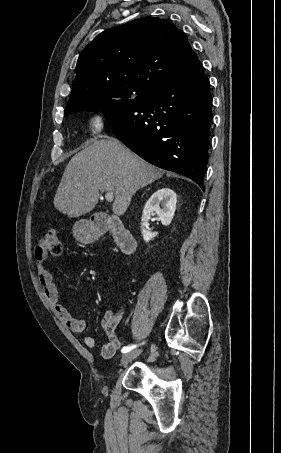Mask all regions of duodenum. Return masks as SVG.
Returning a JSON list of instances; mask_svg holds the SVG:
<instances>
[{
	"mask_svg": "<svg viewBox=\"0 0 281 453\" xmlns=\"http://www.w3.org/2000/svg\"><path fill=\"white\" fill-rule=\"evenodd\" d=\"M105 233L112 235L123 253L131 254L135 251L136 241L120 220L108 217L94 218L90 224L91 237L97 238Z\"/></svg>",
	"mask_w": 281,
	"mask_h": 453,
	"instance_id": "410a0bca",
	"label": "duodenum"
}]
</instances>
